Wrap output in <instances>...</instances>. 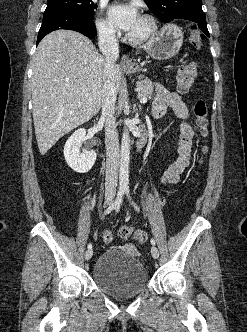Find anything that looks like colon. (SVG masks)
I'll list each match as a JSON object with an SVG mask.
<instances>
[{
    "mask_svg": "<svg viewBox=\"0 0 247 332\" xmlns=\"http://www.w3.org/2000/svg\"><path fill=\"white\" fill-rule=\"evenodd\" d=\"M187 35L191 42L197 46L204 40L205 36L199 28L196 26H191ZM197 77V65L193 62L183 65L177 75L176 86L180 93H186L190 90ZM193 114L195 119V124L199 134L205 138L208 136V107L204 99L200 98L196 100L193 106ZM207 151L206 146L202 147V153L205 154ZM203 159H200L202 162ZM119 236L124 240L134 239L138 243H144L147 241L148 235L143 230H135L131 227H121L119 230ZM113 240V235L110 231H105L103 233V241L107 244L111 243Z\"/></svg>",
    "mask_w": 247,
    "mask_h": 332,
    "instance_id": "5ec220e1",
    "label": "colon"
}]
</instances>
